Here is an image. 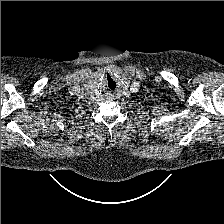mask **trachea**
Instances as JSON below:
<instances>
[{"label": "trachea", "mask_w": 224, "mask_h": 224, "mask_svg": "<svg viewBox=\"0 0 224 224\" xmlns=\"http://www.w3.org/2000/svg\"><path fill=\"white\" fill-rule=\"evenodd\" d=\"M105 87L109 90H114L117 87V83L111 78H107Z\"/></svg>", "instance_id": "1"}]
</instances>
